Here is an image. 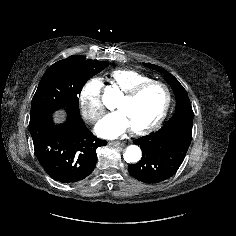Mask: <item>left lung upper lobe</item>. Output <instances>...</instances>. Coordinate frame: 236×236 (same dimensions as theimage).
<instances>
[{"mask_svg":"<svg viewBox=\"0 0 236 236\" xmlns=\"http://www.w3.org/2000/svg\"><path fill=\"white\" fill-rule=\"evenodd\" d=\"M144 65L153 69V70H157L158 72L163 73L165 75L167 82L169 83V85L171 86V88L175 94L176 107H178L182 104H191L186 90L172 74H170L168 71H166L163 68H161L157 65H154V64L144 63Z\"/></svg>","mask_w":236,"mask_h":236,"instance_id":"obj_1","label":"left lung upper lobe"}]
</instances>
